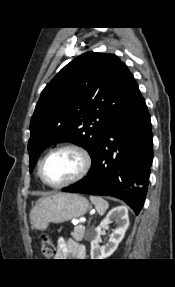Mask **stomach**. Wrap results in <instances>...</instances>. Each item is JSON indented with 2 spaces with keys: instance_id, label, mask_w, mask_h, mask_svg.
Instances as JSON below:
<instances>
[{
  "instance_id": "stomach-1",
  "label": "stomach",
  "mask_w": 175,
  "mask_h": 287,
  "mask_svg": "<svg viewBox=\"0 0 175 287\" xmlns=\"http://www.w3.org/2000/svg\"><path fill=\"white\" fill-rule=\"evenodd\" d=\"M90 209L88 200L72 193H57L39 200L30 212L31 225L45 230L50 223H64L83 216Z\"/></svg>"
}]
</instances>
